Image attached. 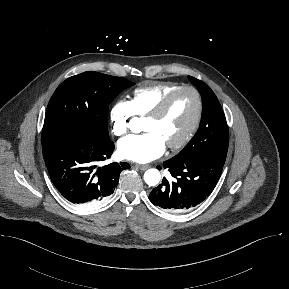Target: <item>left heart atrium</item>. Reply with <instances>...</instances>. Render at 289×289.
I'll return each instance as SVG.
<instances>
[{
  "mask_svg": "<svg viewBox=\"0 0 289 289\" xmlns=\"http://www.w3.org/2000/svg\"><path fill=\"white\" fill-rule=\"evenodd\" d=\"M165 143L154 132L129 135L118 143V152L124 159L147 163L159 158L165 151Z\"/></svg>",
  "mask_w": 289,
  "mask_h": 289,
  "instance_id": "obj_1",
  "label": "left heart atrium"
}]
</instances>
